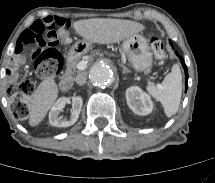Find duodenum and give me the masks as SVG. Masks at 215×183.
Masks as SVG:
<instances>
[{"label":"duodenum","instance_id":"1","mask_svg":"<svg viewBox=\"0 0 215 183\" xmlns=\"http://www.w3.org/2000/svg\"><path fill=\"white\" fill-rule=\"evenodd\" d=\"M73 79L68 70H65L61 76L59 86L62 91H68L72 88Z\"/></svg>","mask_w":215,"mask_h":183}]
</instances>
